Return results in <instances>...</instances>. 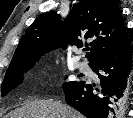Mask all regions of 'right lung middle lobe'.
Masks as SVG:
<instances>
[{"mask_svg":"<svg viewBox=\"0 0 133 118\" xmlns=\"http://www.w3.org/2000/svg\"><path fill=\"white\" fill-rule=\"evenodd\" d=\"M35 62L37 61H33L30 63H26V64H21V65H16L13 67L8 68L3 83H2V96H5L11 89H14L16 86L20 85L24 79L23 77V73L27 72L28 70H30ZM77 81L74 82H65L62 86V88H66L68 86L77 84Z\"/></svg>","mask_w":133,"mask_h":118,"instance_id":"right-lung-middle-lobe-1","label":"right lung middle lobe"}]
</instances>
